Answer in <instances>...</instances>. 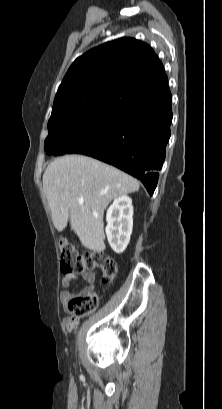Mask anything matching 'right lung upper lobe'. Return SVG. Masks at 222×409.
Returning a JSON list of instances; mask_svg holds the SVG:
<instances>
[{
    "label": "right lung upper lobe",
    "mask_w": 222,
    "mask_h": 409,
    "mask_svg": "<svg viewBox=\"0 0 222 409\" xmlns=\"http://www.w3.org/2000/svg\"><path fill=\"white\" fill-rule=\"evenodd\" d=\"M168 91L164 67L152 48L134 38H120L73 62L58 88L52 112L74 105L123 104Z\"/></svg>",
    "instance_id": "obj_1"
}]
</instances>
